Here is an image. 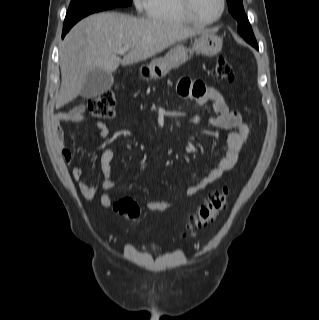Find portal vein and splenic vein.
<instances>
[{
    "label": "portal vein and splenic vein",
    "instance_id": "obj_1",
    "mask_svg": "<svg viewBox=\"0 0 319 320\" xmlns=\"http://www.w3.org/2000/svg\"><path fill=\"white\" fill-rule=\"evenodd\" d=\"M129 49H130V46H123V47H121V48L118 49L117 53H119V54H124V53H126Z\"/></svg>",
    "mask_w": 319,
    "mask_h": 320
}]
</instances>
